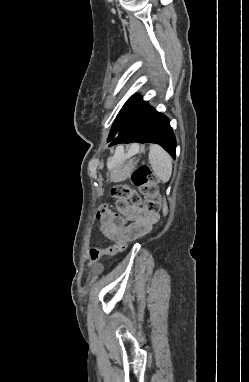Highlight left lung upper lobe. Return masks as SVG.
<instances>
[{"instance_id":"obj_1","label":"left lung upper lobe","mask_w":249,"mask_h":382,"mask_svg":"<svg viewBox=\"0 0 249 382\" xmlns=\"http://www.w3.org/2000/svg\"><path fill=\"white\" fill-rule=\"evenodd\" d=\"M149 107V104L146 101H142L140 96L133 95L117 115L107 139L108 142L112 141L119 133L131 128Z\"/></svg>"}]
</instances>
